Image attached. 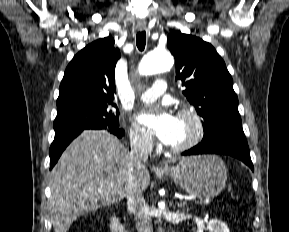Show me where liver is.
<instances>
[{"label":"liver","instance_id":"6515ba94","mask_svg":"<svg viewBox=\"0 0 289 232\" xmlns=\"http://www.w3.org/2000/svg\"><path fill=\"white\" fill-rule=\"evenodd\" d=\"M127 155L120 140L108 132L88 130L72 141L50 174L49 204L55 232H67L81 215L127 196ZM133 176L135 190H146L148 169L143 164L136 166Z\"/></svg>","mask_w":289,"mask_h":232}]
</instances>
